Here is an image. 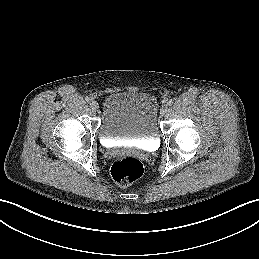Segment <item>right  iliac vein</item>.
Wrapping results in <instances>:
<instances>
[{
	"mask_svg": "<svg viewBox=\"0 0 259 259\" xmlns=\"http://www.w3.org/2000/svg\"><path fill=\"white\" fill-rule=\"evenodd\" d=\"M91 107L95 111L98 110V108H99L98 102H96V101L91 102Z\"/></svg>",
	"mask_w": 259,
	"mask_h": 259,
	"instance_id": "obj_1",
	"label": "right iliac vein"
}]
</instances>
